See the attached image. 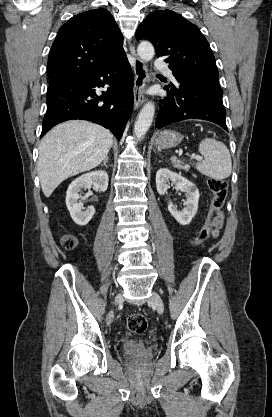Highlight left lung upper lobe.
<instances>
[{"instance_id": "5c2ea615", "label": "left lung upper lobe", "mask_w": 272, "mask_h": 417, "mask_svg": "<svg viewBox=\"0 0 272 417\" xmlns=\"http://www.w3.org/2000/svg\"><path fill=\"white\" fill-rule=\"evenodd\" d=\"M136 38L152 42L157 57L165 58L175 78L223 95L215 57L206 38L181 15L170 10L154 11L138 26Z\"/></svg>"}]
</instances>
